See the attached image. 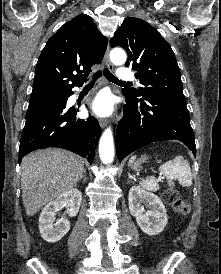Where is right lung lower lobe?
<instances>
[{
    "label": "right lung lower lobe",
    "mask_w": 221,
    "mask_h": 274,
    "mask_svg": "<svg viewBox=\"0 0 221 274\" xmlns=\"http://www.w3.org/2000/svg\"><path fill=\"white\" fill-rule=\"evenodd\" d=\"M65 97L39 104H30L19 147V163L31 151L59 147L86 157L90 164L94 159V148L101 135L95 117L76 120L75 107H67Z\"/></svg>",
    "instance_id": "obj_1"
}]
</instances>
